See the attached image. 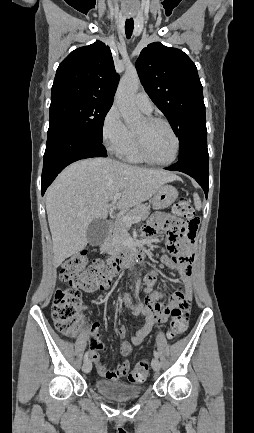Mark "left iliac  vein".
<instances>
[{
    "label": "left iliac vein",
    "instance_id": "4c4485c4",
    "mask_svg": "<svg viewBox=\"0 0 254 433\" xmlns=\"http://www.w3.org/2000/svg\"><path fill=\"white\" fill-rule=\"evenodd\" d=\"M151 366L155 372H158L160 370V362H159L158 358L152 359Z\"/></svg>",
    "mask_w": 254,
    "mask_h": 433
}]
</instances>
